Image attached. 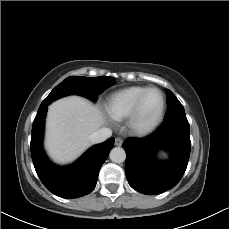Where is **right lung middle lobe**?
<instances>
[{"mask_svg":"<svg viewBox=\"0 0 229 229\" xmlns=\"http://www.w3.org/2000/svg\"><path fill=\"white\" fill-rule=\"evenodd\" d=\"M115 83L116 80L114 78L106 76L95 78L71 76L57 85L42 103L50 104L61 97L71 94L81 95L96 101L99 93Z\"/></svg>","mask_w":229,"mask_h":229,"instance_id":"dd1d6c3e","label":"right lung middle lobe"}]
</instances>
